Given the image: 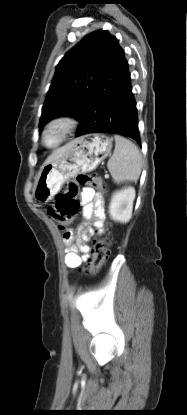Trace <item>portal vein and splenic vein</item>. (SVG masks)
Segmentation results:
<instances>
[{
  "label": "portal vein and splenic vein",
  "mask_w": 187,
  "mask_h": 415,
  "mask_svg": "<svg viewBox=\"0 0 187 415\" xmlns=\"http://www.w3.org/2000/svg\"><path fill=\"white\" fill-rule=\"evenodd\" d=\"M105 178H109V175L108 174H105Z\"/></svg>",
  "instance_id": "obj_1"
}]
</instances>
